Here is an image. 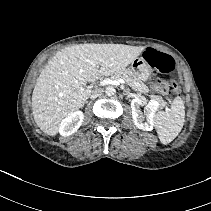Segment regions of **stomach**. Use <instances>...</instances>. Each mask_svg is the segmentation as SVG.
Listing matches in <instances>:
<instances>
[{"mask_svg": "<svg viewBox=\"0 0 211 211\" xmlns=\"http://www.w3.org/2000/svg\"><path fill=\"white\" fill-rule=\"evenodd\" d=\"M129 70L140 81H146L150 75V66L143 56L136 58L131 63Z\"/></svg>", "mask_w": 211, "mask_h": 211, "instance_id": "1", "label": "stomach"}]
</instances>
